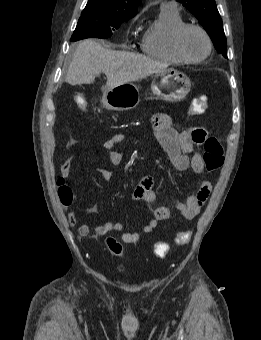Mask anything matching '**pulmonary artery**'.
Wrapping results in <instances>:
<instances>
[{
	"instance_id": "pulmonary-artery-1",
	"label": "pulmonary artery",
	"mask_w": 261,
	"mask_h": 340,
	"mask_svg": "<svg viewBox=\"0 0 261 340\" xmlns=\"http://www.w3.org/2000/svg\"><path fill=\"white\" fill-rule=\"evenodd\" d=\"M161 8H171V9H178V4L171 0V1H163L161 3Z\"/></svg>"
}]
</instances>
